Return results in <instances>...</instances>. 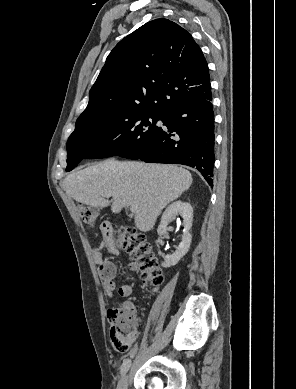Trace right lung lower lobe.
Wrapping results in <instances>:
<instances>
[{"instance_id":"98d812e1","label":"right lung lower lobe","mask_w":296,"mask_h":389,"mask_svg":"<svg viewBox=\"0 0 296 389\" xmlns=\"http://www.w3.org/2000/svg\"><path fill=\"white\" fill-rule=\"evenodd\" d=\"M212 95L185 103L163 118V125L136 159L196 168L213 186L214 112Z\"/></svg>"}]
</instances>
